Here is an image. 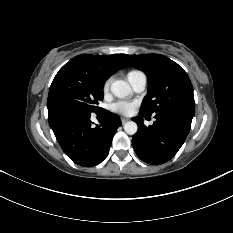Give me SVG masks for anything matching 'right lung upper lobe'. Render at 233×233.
Here are the masks:
<instances>
[{
  "instance_id": "cb5924a9",
  "label": "right lung upper lobe",
  "mask_w": 233,
  "mask_h": 233,
  "mask_svg": "<svg viewBox=\"0 0 233 233\" xmlns=\"http://www.w3.org/2000/svg\"><path fill=\"white\" fill-rule=\"evenodd\" d=\"M121 56H123V54H81L72 58L59 70V72H80L105 83L112 74L127 67V63Z\"/></svg>"
}]
</instances>
